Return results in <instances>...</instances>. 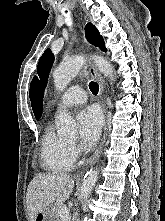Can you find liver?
<instances>
[{"label":"liver","instance_id":"liver-1","mask_svg":"<svg viewBox=\"0 0 165 221\" xmlns=\"http://www.w3.org/2000/svg\"><path fill=\"white\" fill-rule=\"evenodd\" d=\"M75 182L69 174H38L28 185L26 202L30 221L49 205H62L71 195Z\"/></svg>","mask_w":165,"mask_h":221}]
</instances>
